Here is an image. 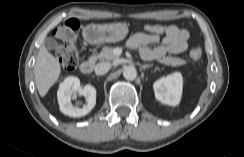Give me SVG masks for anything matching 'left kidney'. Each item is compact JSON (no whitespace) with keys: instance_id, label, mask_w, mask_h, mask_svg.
<instances>
[{"instance_id":"left-kidney-1","label":"left kidney","mask_w":244,"mask_h":157,"mask_svg":"<svg viewBox=\"0 0 244 157\" xmlns=\"http://www.w3.org/2000/svg\"><path fill=\"white\" fill-rule=\"evenodd\" d=\"M182 87V75L178 72L163 77L153 84L156 99L170 106H177L179 104Z\"/></svg>"}]
</instances>
